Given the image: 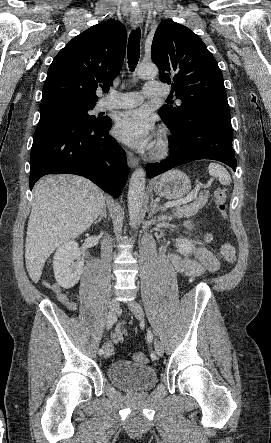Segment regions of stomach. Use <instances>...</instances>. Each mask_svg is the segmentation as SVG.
<instances>
[{
    "mask_svg": "<svg viewBox=\"0 0 271 443\" xmlns=\"http://www.w3.org/2000/svg\"><path fill=\"white\" fill-rule=\"evenodd\" d=\"M153 190L156 196H162L167 200H178L191 190V182L184 172L170 170L154 180Z\"/></svg>",
    "mask_w": 271,
    "mask_h": 443,
    "instance_id": "obj_1",
    "label": "stomach"
}]
</instances>
